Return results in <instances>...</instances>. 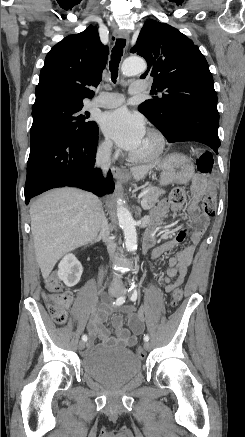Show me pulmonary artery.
Here are the masks:
<instances>
[{
	"label": "pulmonary artery",
	"mask_w": 245,
	"mask_h": 437,
	"mask_svg": "<svg viewBox=\"0 0 245 437\" xmlns=\"http://www.w3.org/2000/svg\"><path fill=\"white\" fill-rule=\"evenodd\" d=\"M148 89L149 85L145 81H137L131 84L129 92L130 94H139L146 92ZM123 102L124 95L120 93L102 92L92 101L91 105L100 108H115Z\"/></svg>",
	"instance_id": "1"
}]
</instances>
